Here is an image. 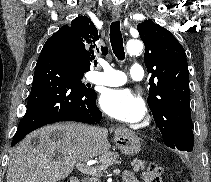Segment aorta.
Returning <instances> with one entry per match:
<instances>
[{
    "label": "aorta",
    "mask_w": 211,
    "mask_h": 182,
    "mask_svg": "<svg viewBox=\"0 0 211 182\" xmlns=\"http://www.w3.org/2000/svg\"><path fill=\"white\" fill-rule=\"evenodd\" d=\"M126 49L130 55H138L143 50V43L137 39H131L127 42Z\"/></svg>",
    "instance_id": "obj_1"
}]
</instances>
